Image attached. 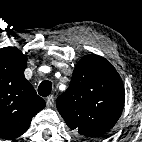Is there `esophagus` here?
<instances>
[{
	"instance_id": "esophagus-1",
	"label": "esophagus",
	"mask_w": 142,
	"mask_h": 142,
	"mask_svg": "<svg viewBox=\"0 0 142 142\" xmlns=\"http://www.w3.org/2000/svg\"><path fill=\"white\" fill-rule=\"evenodd\" d=\"M53 100H54V97L52 95L47 97L46 103L48 107L52 105Z\"/></svg>"
}]
</instances>
